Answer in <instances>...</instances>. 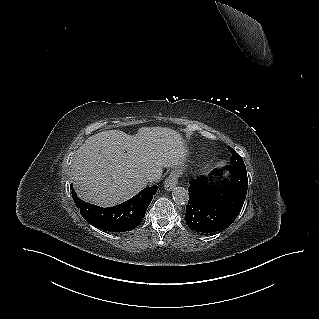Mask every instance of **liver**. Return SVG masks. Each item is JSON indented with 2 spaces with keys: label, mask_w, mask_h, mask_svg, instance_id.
<instances>
[{
  "label": "liver",
  "mask_w": 319,
  "mask_h": 319,
  "mask_svg": "<svg viewBox=\"0 0 319 319\" xmlns=\"http://www.w3.org/2000/svg\"><path fill=\"white\" fill-rule=\"evenodd\" d=\"M186 147L181 135L166 127H142L136 135L119 130L90 136L71 165L74 187L87 202L110 207L146 187V177L162 175L163 167L182 165Z\"/></svg>",
  "instance_id": "liver-1"
}]
</instances>
